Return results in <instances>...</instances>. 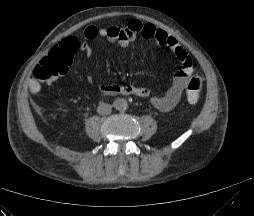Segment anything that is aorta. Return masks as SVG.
I'll return each mask as SVG.
<instances>
[{
	"label": "aorta",
	"instance_id": "obj_1",
	"mask_svg": "<svg viewBox=\"0 0 254 216\" xmlns=\"http://www.w3.org/2000/svg\"><path fill=\"white\" fill-rule=\"evenodd\" d=\"M113 105L118 111H125L128 108V102L124 98L116 99Z\"/></svg>",
	"mask_w": 254,
	"mask_h": 216
}]
</instances>
